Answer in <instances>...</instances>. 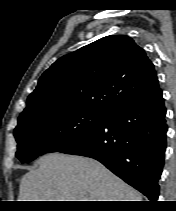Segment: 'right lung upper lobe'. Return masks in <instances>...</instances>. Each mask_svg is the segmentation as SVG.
I'll list each match as a JSON object with an SVG mask.
<instances>
[{"mask_svg": "<svg viewBox=\"0 0 176 211\" xmlns=\"http://www.w3.org/2000/svg\"><path fill=\"white\" fill-rule=\"evenodd\" d=\"M158 89L154 65L145 51L126 35L106 36L53 63L19 118L61 108L108 114Z\"/></svg>", "mask_w": 176, "mask_h": 211, "instance_id": "right-lung-upper-lobe-1", "label": "right lung upper lobe"}]
</instances>
